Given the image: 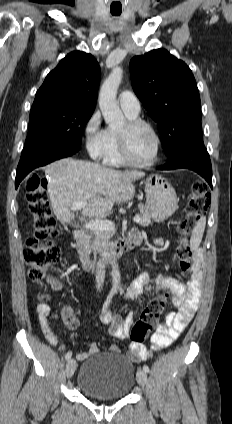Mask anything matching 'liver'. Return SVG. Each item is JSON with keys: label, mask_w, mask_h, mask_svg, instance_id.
Instances as JSON below:
<instances>
[{"label": "liver", "mask_w": 232, "mask_h": 424, "mask_svg": "<svg viewBox=\"0 0 232 424\" xmlns=\"http://www.w3.org/2000/svg\"><path fill=\"white\" fill-rule=\"evenodd\" d=\"M49 175V199L52 211L62 223H69L75 214L71 206L86 201L84 217H100L115 203L131 200L135 195L132 184L145 176L141 171H118L95 163L63 158L46 167Z\"/></svg>", "instance_id": "1"}]
</instances>
